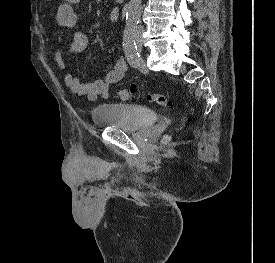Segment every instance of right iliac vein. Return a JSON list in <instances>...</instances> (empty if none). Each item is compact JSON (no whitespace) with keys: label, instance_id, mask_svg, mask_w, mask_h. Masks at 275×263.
Segmentation results:
<instances>
[{"label":"right iliac vein","instance_id":"right-iliac-vein-1","mask_svg":"<svg viewBox=\"0 0 275 263\" xmlns=\"http://www.w3.org/2000/svg\"><path fill=\"white\" fill-rule=\"evenodd\" d=\"M141 41L140 40H137V44L140 43Z\"/></svg>","mask_w":275,"mask_h":263}]
</instances>
